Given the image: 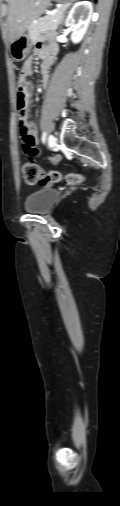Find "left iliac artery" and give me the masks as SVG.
<instances>
[{"label": "left iliac artery", "instance_id": "left-iliac-artery-1", "mask_svg": "<svg viewBox=\"0 0 120 506\" xmlns=\"http://www.w3.org/2000/svg\"><path fill=\"white\" fill-rule=\"evenodd\" d=\"M41 139H42V142L45 143V141H46V132H43Z\"/></svg>", "mask_w": 120, "mask_h": 506}]
</instances>
